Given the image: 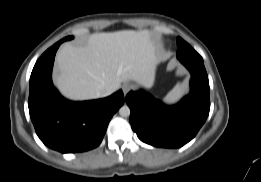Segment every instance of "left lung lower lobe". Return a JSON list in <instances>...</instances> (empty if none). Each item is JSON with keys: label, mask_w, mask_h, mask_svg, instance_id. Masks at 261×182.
<instances>
[{"label": "left lung lower lobe", "mask_w": 261, "mask_h": 182, "mask_svg": "<svg viewBox=\"0 0 261 182\" xmlns=\"http://www.w3.org/2000/svg\"><path fill=\"white\" fill-rule=\"evenodd\" d=\"M190 71V93L167 106L144 91L129 92V121L139 139L149 145L179 148L195 137L210 110L209 81L203 59H179Z\"/></svg>", "instance_id": "0a47b994"}]
</instances>
